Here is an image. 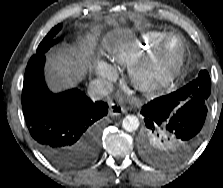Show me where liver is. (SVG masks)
Returning <instances> with one entry per match:
<instances>
[{
    "instance_id": "1",
    "label": "liver",
    "mask_w": 223,
    "mask_h": 188,
    "mask_svg": "<svg viewBox=\"0 0 223 188\" xmlns=\"http://www.w3.org/2000/svg\"><path fill=\"white\" fill-rule=\"evenodd\" d=\"M96 37L87 35L80 40L79 47L59 50L48 56L47 73L53 89H64L76 84L91 66V55L95 48Z\"/></svg>"
}]
</instances>
